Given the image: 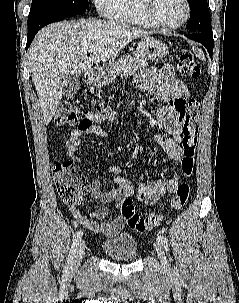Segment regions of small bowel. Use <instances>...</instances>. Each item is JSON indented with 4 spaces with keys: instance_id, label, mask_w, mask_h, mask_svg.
<instances>
[{
    "instance_id": "1",
    "label": "small bowel",
    "mask_w": 239,
    "mask_h": 303,
    "mask_svg": "<svg viewBox=\"0 0 239 303\" xmlns=\"http://www.w3.org/2000/svg\"><path fill=\"white\" fill-rule=\"evenodd\" d=\"M135 86L140 91L152 89L156 99L165 102L166 105L157 112L159 123L168 129L169 134L163 136L154 134L153 140L165 154L164 161L169 160L180 163L183 158L181 145V123L184 115L185 101L188 98V89L184 82L174 78L173 68L165 64L159 68H153L139 73L134 80ZM112 118L108 112H88L79 125L71 132L66 143L67 155L76 163H81V158L76 155L81 137L87 134H95L102 138L108 136L100 123ZM108 171L116 175L121 174L122 168L117 165L108 166ZM115 188L102 192L99 181L91 184L90 194L103 204H112L113 208L104 206L94 211L85 213L76 206H70L69 211L78 224H82L89 230L99 233L110 239L117 236L123 229L125 220L117 214L121 202L126 198H134L146 204L156 203L167 193H174L179 184L178 173L159 177L153 184H140L137 188L125 177L118 176L114 179ZM103 220L102 222H98Z\"/></svg>"
}]
</instances>
